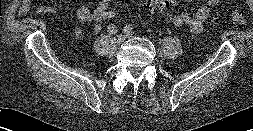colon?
<instances>
[{
    "label": "colon",
    "instance_id": "1",
    "mask_svg": "<svg viewBox=\"0 0 253 131\" xmlns=\"http://www.w3.org/2000/svg\"><path fill=\"white\" fill-rule=\"evenodd\" d=\"M176 4L175 0H146V7L152 11H162L173 7ZM117 13L112 8H107L102 13V20L105 23L115 21ZM230 19L234 25H243L246 21V15L243 10L234 9L230 12Z\"/></svg>",
    "mask_w": 253,
    "mask_h": 131
}]
</instances>
